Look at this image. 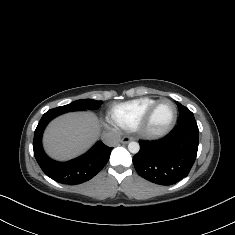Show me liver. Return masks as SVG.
<instances>
[{
	"label": "liver",
	"instance_id": "6515ba94",
	"mask_svg": "<svg viewBox=\"0 0 235 235\" xmlns=\"http://www.w3.org/2000/svg\"><path fill=\"white\" fill-rule=\"evenodd\" d=\"M100 129L101 123L93 112L66 113L52 120L45 129L44 150L58 161L73 159L95 143Z\"/></svg>",
	"mask_w": 235,
	"mask_h": 235
}]
</instances>
